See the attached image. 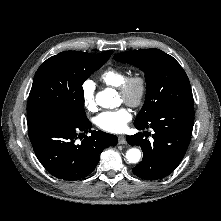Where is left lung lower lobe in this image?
<instances>
[{"label":"left lung lower lobe","mask_w":221,"mask_h":221,"mask_svg":"<svg viewBox=\"0 0 221 221\" xmlns=\"http://www.w3.org/2000/svg\"><path fill=\"white\" fill-rule=\"evenodd\" d=\"M134 125L138 130H152L153 141L145 138L151 135L148 131L126 137L130 145L143 151V160L132 171L140 178L158 180L171 174L183 159L191 139L194 108L164 109Z\"/></svg>","instance_id":"obj_1"}]
</instances>
